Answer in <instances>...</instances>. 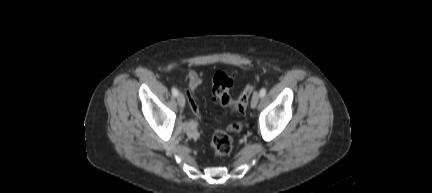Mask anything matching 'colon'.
Wrapping results in <instances>:
<instances>
[{
    "label": "colon",
    "instance_id": "obj_1",
    "mask_svg": "<svg viewBox=\"0 0 432 193\" xmlns=\"http://www.w3.org/2000/svg\"><path fill=\"white\" fill-rule=\"evenodd\" d=\"M233 83L234 76L231 73L217 72L212 81V93L223 107L241 113L247 108L254 86L247 85L239 97L233 99L230 93ZM211 146L216 156L225 157L232 152L234 141L225 131L216 130L212 136Z\"/></svg>",
    "mask_w": 432,
    "mask_h": 193
}]
</instances>
